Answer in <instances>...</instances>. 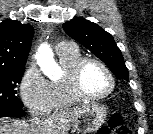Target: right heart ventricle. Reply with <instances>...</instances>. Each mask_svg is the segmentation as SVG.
<instances>
[{
	"label": "right heart ventricle",
	"instance_id": "right-heart-ventricle-1",
	"mask_svg": "<svg viewBox=\"0 0 153 134\" xmlns=\"http://www.w3.org/2000/svg\"><path fill=\"white\" fill-rule=\"evenodd\" d=\"M58 57L64 75L62 78L50 82L51 110L68 108L79 102L69 91L67 76L72 67L81 59V54L77 49H74L58 54Z\"/></svg>",
	"mask_w": 153,
	"mask_h": 134
}]
</instances>
